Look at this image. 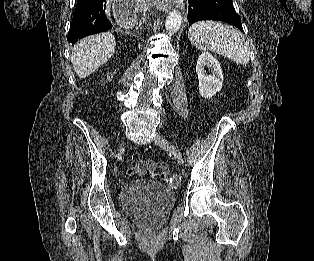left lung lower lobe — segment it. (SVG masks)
Returning a JSON list of instances; mask_svg holds the SVG:
<instances>
[{"label": "left lung lower lobe", "instance_id": "left-lung-lower-lobe-1", "mask_svg": "<svg viewBox=\"0 0 314 261\" xmlns=\"http://www.w3.org/2000/svg\"><path fill=\"white\" fill-rule=\"evenodd\" d=\"M200 20L224 21L243 32L241 19L231 0H189L188 21Z\"/></svg>", "mask_w": 314, "mask_h": 261}]
</instances>
